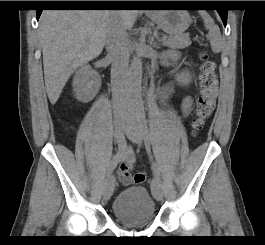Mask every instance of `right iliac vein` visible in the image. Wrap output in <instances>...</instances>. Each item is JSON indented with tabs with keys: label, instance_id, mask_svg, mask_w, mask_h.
I'll return each mask as SVG.
<instances>
[{
	"label": "right iliac vein",
	"instance_id": "1",
	"mask_svg": "<svg viewBox=\"0 0 265 245\" xmlns=\"http://www.w3.org/2000/svg\"><path fill=\"white\" fill-rule=\"evenodd\" d=\"M114 126H115V134L116 136L119 137L126 129L127 123L124 120L117 119L115 120ZM114 188H115V178L110 175L104 182L103 197L105 200H108L111 197Z\"/></svg>",
	"mask_w": 265,
	"mask_h": 245
}]
</instances>
